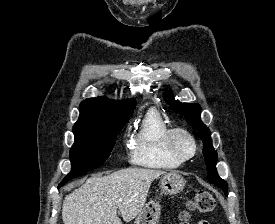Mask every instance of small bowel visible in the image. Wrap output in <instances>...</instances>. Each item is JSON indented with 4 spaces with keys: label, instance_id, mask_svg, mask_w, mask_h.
<instances>
[{
    "label": "small bowel",
    "instance_id": "c3829d8e",
    "mask_svg": "<svg viewBox=\"0 0 275 224\" xmlns=\"http://www.w3.org/2000/svg\"><path fill=\"white\" fill-rule=\"evenodd\" d=\"M198 224H210V223L206 220H201V221L198 222Z\"/></svg>",
    "mask_w": 275,
    "mask_h": 224
}]
</instances>
